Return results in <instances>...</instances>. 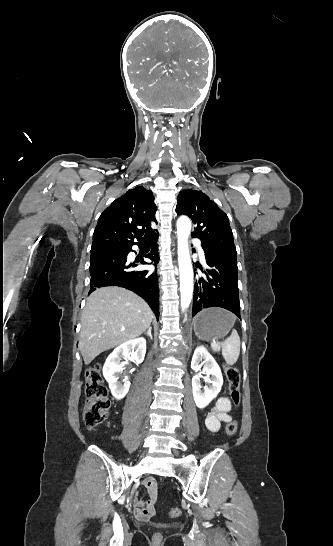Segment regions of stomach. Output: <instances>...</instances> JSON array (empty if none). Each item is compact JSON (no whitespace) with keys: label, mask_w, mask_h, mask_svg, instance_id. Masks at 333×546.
Listing matches in <instances>:
<instances>
[{"label":"stomach","mask_w":333,"mask_h":546,"mask_svg":"<svg viewBox=\"0 0 333 546\" xmlns=\"http://www.w3.org/2000/svg\"><path fill=\"white\" fill-rule=\"evenodd\" d=\"M235 320L231 313L220 308L203 310L194 319V332L203 341H215L224 338Z\"/></svg>","instance_id":"0dacf381"}]
</instances>
